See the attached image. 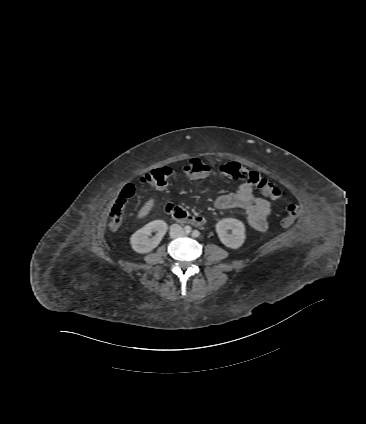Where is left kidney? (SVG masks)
Here are the masks:
<instances>
[{
    "instance_id": "obj_1",
    "label": "left kidney",
    "mask_w": 366,
    "mask_h": 424,
    "mask_svg": "<svg viewBox=\"0 0 366 424\" xmlns=\"http://www.w3.org/2000/svg\"><path fill=\"white\" fill-rule=\"evenodd\" d=\"M231 230V234L227 232ZM216 232L220 241L229 248L237 249L245 241V227L244 224L234 218H225L216 224Z\"/></svg>"
}]
</instances>
